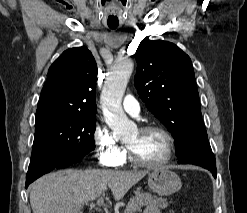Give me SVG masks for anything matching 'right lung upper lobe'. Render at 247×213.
I'll return each instance as SVG.
<instances>
[{
  "label": "right lung upper lobe",
  "instance_id": "1",
  "mask_svg": "<svg viewBox=\"0 0 247 213\" xmlns=\"http://www.w3.org/2000/svg\"><path fill=\"white\" fill-rule=\"evenodd\" d=\"M97 65L87 47L70 48L51 65L36 116L96 115Z\"/></svg>",
  "mask_w": 247,
  "mask_h": 213
}]
</instances>
